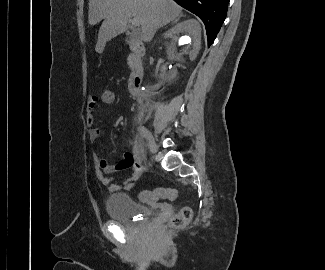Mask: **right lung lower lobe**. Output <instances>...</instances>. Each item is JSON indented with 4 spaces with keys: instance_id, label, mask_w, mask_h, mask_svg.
Returning a JSON list of instances; mask_svg holds the SVG:
<instances>
[{
    "instance_id": "obj_1",
    "label": "right lung lower lobe",
    "mask_w": 325,
    "mask_h": 270,
    "mask_svg": "<svg viewBox=\"0 0 325 270\" xmlns=\"http://www.w3.org/2000/svg\"><path fill=\"white\" fill-rule=\"evenodd\" d=\"M204 22L208 47L215 40L227 14L229 0H174Z\"/></svg>"
}]
</instances>
